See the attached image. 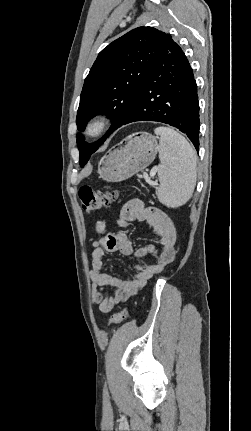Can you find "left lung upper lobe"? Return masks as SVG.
<instances>
[{
    "label": "left lung upper lobe",
    "instance_id": "5c2ea615",
    "mask_svg": "<svg viewBox=\"0 0 251 431\" xmlns=\"http://www.w3.org/2000/svg\"><path fill=\"white\" fill-rule=\"evenodd\" d=\"M168 34L152 27H138L110 43L98 55L80 95L76 124L84 131L87 122L106 113L113 125L107 134L88 144L78 134L80 166L83 167L127 117Z\"/></svg>",
    "mask_w": 251,
    "mask_h": 431
}]
</instances>
